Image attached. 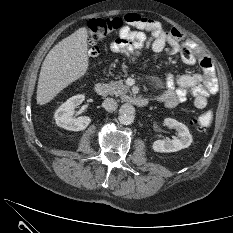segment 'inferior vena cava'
I'll use <instances>...</instances> for the list:
<instances>
[{"instance_id": "602c4592", "label": "inferior vena cava", "mask_w": 233, "mask_h": 233, "mask_svg": "<svg viewBox=\"0 0 233 233\" xmlns=\"http://www.w3.org/2000/svg\"><path fill=\"white\" fill-rule=\"evenodd\" d=\"M103 107L108 112H113L117 108V102L113 98H106L103 103Z\"/></svg>"}]
</instances>
